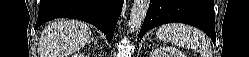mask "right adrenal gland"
<instances>
[{
	"mask_svg": "<svg viewBox=\"0 0 249 57\" xmlns=\"http://www.w3.org/2000/svg\"><path fill=\"white\" fill-rule=\"evenodd\" d=\"M95 44H97V41L95 39L92 40Z\"/></svg>",
	"mask_w": 249,
	"mask_h": 57,
	"instance_id": "right-adrenal-gland-1",
	"label": "right adrenal gland"
}]
</instances>
